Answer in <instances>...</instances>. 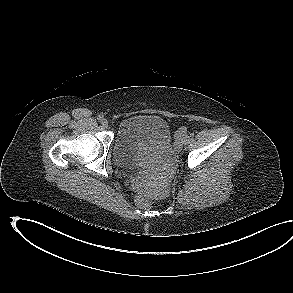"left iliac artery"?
<instances>
[{
  "label": "left iliac artery",
  "mask_w": 293,
  "mask_h": 293,
  "mask_svg": "<svg viewBox=\"0 0 293 293\" xmlns=\"http://www.w3.org/2000/svg\"><path fill=\"white\" fill-rule=\"evenodd\" d=\"M190 137H191V138H193V137H194V134H193V133H191V134H190Z\"/></svg>",
  "instance_id": "44dca946"
}]
</instances>
